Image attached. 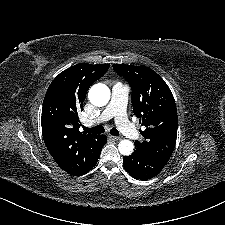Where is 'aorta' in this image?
Returning a JSON list of instances; mask_svg holds the SVG:
<instances>
[{
    "mask_svg": "<svg viewBox=\"0 0 225 225\" xmlns=\"http://www.w3.org/2000/svg\"><path fill=\"white\" fill-rule=\"evenodd\" d=\"M88 98L97 107L105 106L110 100V89L103 83L94 84L89 90ZM118 149L122 155L129 156L133 153L134 144L130 140H122Z\"/></svg>",
    "mask_w": 225,
    "mask_h": 225,
    "instance_id": "1",
    "label": "aorta"
}]
</instances>
